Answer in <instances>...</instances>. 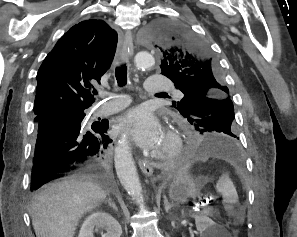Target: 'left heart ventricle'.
I'll return each instance as SVG.
<instances>
[{
  "mask_svg": "<svg viewBox=\"0 0 297 237\" xmlns=\"http://www.w3.org/2000/svg\"><path fill=\"white\" fill-rule=\"evenodd\" d=\"M166 145V139H165V135H163V137L161 138L159 145L157 146L156 150H161L165 147Z\"/></svg>",
  "mask_w": 297,
  "mask_h": 237,
  "instance_id": "1",
  "label": "left heart ventricle"
}]
</instances>
